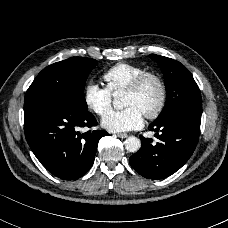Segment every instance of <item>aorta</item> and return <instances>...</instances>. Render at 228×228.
Here are the masks:
<instances>
[{
  "mask_svg": "<svg viewBox=\"0 0 228 228\" xmlns=\"http://www.w3.org/2000/svg\"><path fill=\"white\" fill-rule=\"evenodd\" d=\"M125 95V90L124 89H115L111 93V97L113 98L112 100V105L115 110H123L124 105L122 102V98ZM125 148L128 152L134 153L137 152L140 147H141V141L135 137L131 136L125 140Z\"/></svg>",
  "mask_w": 228,
  "mask_h": 228,
  "instance_id": "762f6f07",
  "label": "aorta"
}]
</instances>
